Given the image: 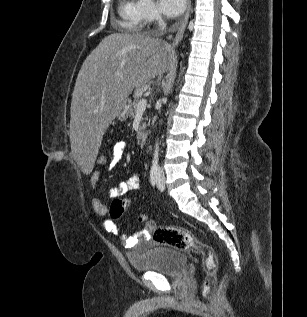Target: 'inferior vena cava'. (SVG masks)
Segmentation results:
<instances>
[{
	"label": "inferior vena cava",
	"instance_id": "inferior-vena-cava-1",
	"mask_svg": "<svg viewBox=\"0 0 307 317\" xmlns=\"http://www.w3.org/2000/svg\"><path fill=\"white\" fill-rule=\"evenodd\" d=\"M158 23H159V26L162 27V29L166 27V23L163 21L161 17L158 19Z\"/></svg>",
	"mask_w": 307,
	"mask_h": 317
}]
</instances>
